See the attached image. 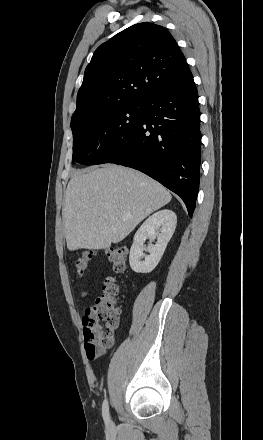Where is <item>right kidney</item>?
<instances>
[{"instance_id": "1", "label": "right kidney", "mask_w": 263, "mask_h": 440, "mask_svg": "<svg viewBox=\"0 0 263 440\" xmlns=\"http://www.w3.org/2000/svg\"><path fill=\"white\" fill-rule=\"evenodd\" d=\"M177 224V216L171 210H161L144 221L134 236L130 249L129 263L131 269L136 273H149L159 263L168 242L170 241ZM155 239V245L144 246L146 239ZM150 255L142 261L143 251Z\"/></svg>"}]
</instances>
